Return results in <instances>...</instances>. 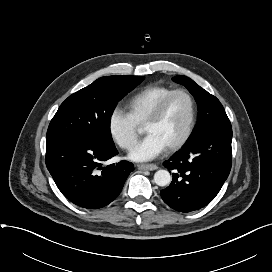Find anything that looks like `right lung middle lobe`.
Segmentation results:
<instances>
[{
	"instance_id": "dd1d6c3e",
	"label": "right lung middle lobe",
	"mask_w": 272,
	"mask_h": 272,
	"mask_svg": "<svg viewBox=\"0 0 272 272\" xmlns=\"http://www.w3.org/2000/svg\"><path fill=\"white\" fill-rule=\"evenodd\" d=\"M141 76H106L69 96L50 122L46 145L65 139L94 138L114 146L110 120L117 103L143 81Z\"/></svg>"
}]
</instances>
